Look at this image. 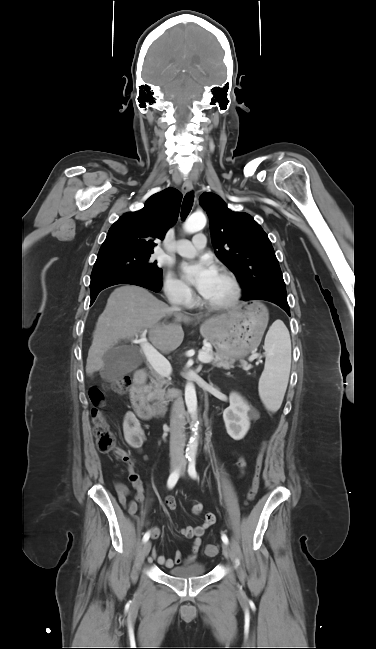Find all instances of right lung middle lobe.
I'll return each instance as SVG.
<instances>
[{
  "instance_id": "obj_1",
  "label": "right lung middle lobe",
  "mask_w": 376,
  "mask_h": 649,
  "mask_svg": "<svg viewBox=\"0 0 376 649\" xmlns=\"http://www.w3.org/2000/svg\"><path fill=\"white\" fill-rule=\"evenodd\" d=\"M152 253L153 251H117L98 254L91 278L109 272H125L161 279L162 270L158 268L157 262L150 259Z\"/></svg>"
}]
</instances>
